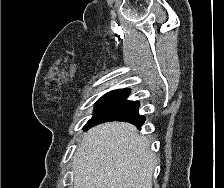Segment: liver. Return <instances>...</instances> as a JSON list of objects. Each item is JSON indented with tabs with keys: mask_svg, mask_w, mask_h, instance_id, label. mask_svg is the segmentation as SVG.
I'll list each match as a JSON object with an SVG mask.
<instances>
[{
	"mask_svg": "<svg viewBox=\"0 0 224 188\" xmlns=\"http://www.w3.org/2000/svg\"><path fill=\"white\" fill-rule=\"evenodd\" d=\"M155 156L135 126L109 122L90 129L73 157L74 188H152Z\"/></svg>",
	"mask_w": 224,
	"mask_h": 188,
	"instance_id": "liver-1",
	"label": "liver"
}]
</instances>
